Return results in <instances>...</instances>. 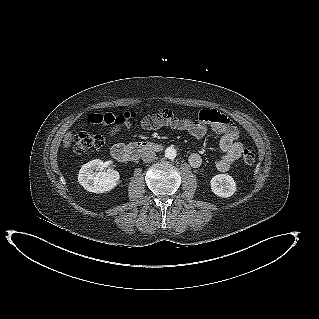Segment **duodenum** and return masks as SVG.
<instances>
[{"instance_id":"obj_1","label":"duodenum","mask_w":319,"mask_h":319,"mask_svg":"<svg viewBox=\"0 0 319 319\" xmlns=\"http://www.w3.org/2000/svg\"><path fill=\"white\" fill-rule=\"evenodd\" d=\"M161 145L151 141H138L129 145L116 144L111 148L112 158L119 163L137 160L145 153L160 150Z\"/></svg>"}]
</instances>
